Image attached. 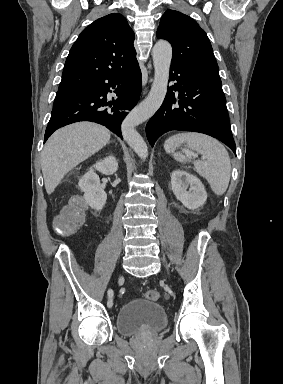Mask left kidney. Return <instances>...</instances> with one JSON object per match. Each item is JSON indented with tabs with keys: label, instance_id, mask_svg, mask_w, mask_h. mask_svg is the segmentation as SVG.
<instances>
[{
	"label": "left kidney",
	"instance_id": "left-kidney-1",
	"mask_svg": "<svg viewBox=\"0 0 283 384\" xmlns=\"http://www.w3.org/2000/svg\"><path fill=\"white\" fill-rule=\"evenodd\" d=\"M171 184L173 194L185 208L196 210L205 204L207 200L206 190L196 176L183 172V170H174L171 174Z\"/></svg>",
	"mask_w": 283,
	"mask_h": 384
}]
</instances>
